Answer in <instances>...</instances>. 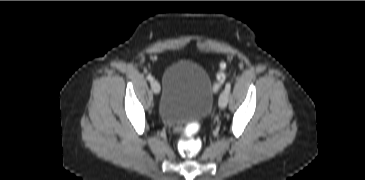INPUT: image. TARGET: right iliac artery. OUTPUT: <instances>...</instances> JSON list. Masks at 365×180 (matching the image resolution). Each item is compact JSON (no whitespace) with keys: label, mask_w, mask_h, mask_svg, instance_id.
Masks as SVG:
<instances>
[{"label":"right iliac artery","mask_w":365,"mask_h":180,"mask_svg":"<svg viewBox=\"0 0 365 180\" xmlns=\"http://www.w3.org/2000/svg\"><path fill=\"white\" fill-rule=\"evenodd\" d=\"M147 79H148L150 82H152V81H153V77H152L150 74L147 76Z\"/></svg>","instance_id":"82829eb1"}]
</instances>
